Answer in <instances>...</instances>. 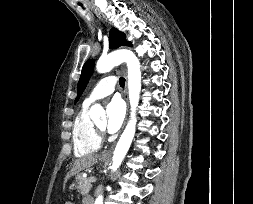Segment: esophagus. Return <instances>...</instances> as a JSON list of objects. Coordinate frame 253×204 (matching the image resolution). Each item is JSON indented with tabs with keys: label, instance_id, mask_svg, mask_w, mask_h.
<instances>
[{
	"label": "esophagus",
	"instance_id": "esophagus-1",
	"mask_svg": "<svg viewBox=\"0 0 253 204\" xmlns=\"http://www.w3.org/2000/svg\"><path fill=\"white\" fill-rule=\"evenodd\" d=\"M96 15L99 17V19H102L100 14L95 11ZM126 74V83H125V88H124V99L127 103V115H128V109H129V103H128V83H127V73ZM127 115H126V118H125V121H124V125L126 124V120H127ZM112 150H113V146L108 149L107 151L103 152L100 157L101 158H109L112 154Z\"/></svg>",
	"mask_w": 253,
	"mask_h": 204
}]
</instances>
